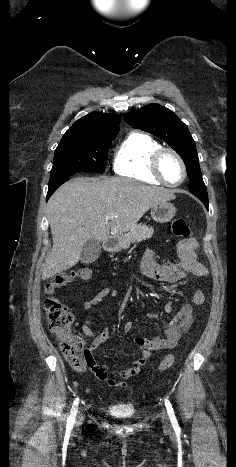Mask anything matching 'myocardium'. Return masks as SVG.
I'll use <instances>...</instances> for the list:
<instances>
[{
    "label": "myocardium",
    "instance_id": "obj_1",
    "mask_svg": "<svg viewBox=\"0 0 236 467\" xmlns=\"http://www.w3.org/2000/svg\"><path fill=\"white\" fill-rule=\"evenodd\" d=\"M166 153L173 155L179 161L181 165L183 176H182V179L178 183L167 182L162 174L161 160L164 154ZM151 172L155 176V178H157L162 184L168 187H179L185 182L187 178V167H186V164L183 158L177 151H175L174 149L170 147H160L153 153L152 158H151Z\"/></svg>",
    "mask_w": 236,
    "mask_h": 467
}]
</instances>
